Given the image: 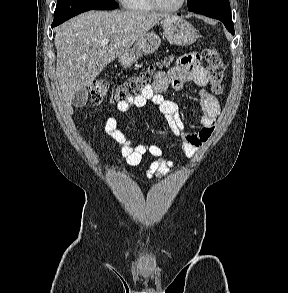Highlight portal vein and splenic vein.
I'll list each match as a JSON object with an SVG mask.
<instances>
[{
  "mask_svg": "<svg viewBox=\"0 0 288 293\" xmlns=\"http://www.w3.org/2000/svg\"><path fill=\"white\" fill-rule=\"evenodd\" d=\"M109 43V39H103L102 41H101V45L102 46H105V45H107Z\"/></svg>",
  "mask_w": 288,
  "mask_h": 293,
  "instance_id": "obj_1",
  "label": "portal vein and splenic vein"
}]
</instances>
